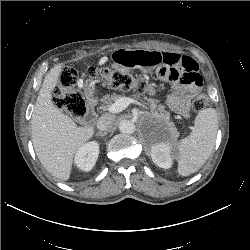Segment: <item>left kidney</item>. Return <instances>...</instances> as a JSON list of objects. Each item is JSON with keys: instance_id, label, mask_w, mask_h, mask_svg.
I'll use <instances>...</instances> for the list:
<instances>
[{"instance_id": "5707ae66", "label": "left kidney", "mask_w": 250, "mask_h": 250, "mask_svg": "<svg viewBox=\"0 0 250 250\" xmlns=\"http://www.w3.org/2000/svg\"><path fill=\"white\" fill-rule=\"evenodd\" d=\"M172 144L168 142H161L153 144L150 148V155L153 162L164 169L172 166Z\"/></svg>"}]
</instances>
